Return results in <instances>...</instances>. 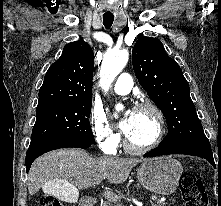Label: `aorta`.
<instances>
[{
	"label": "aorta",
	"instance_id": "aorta-1",
	"mask_svg": "<svg viewBox=\"0 0 221 206\" xmlns=\"http://www.w3.org/2000/svg\"><path fill=\"white\" fill-rule=\"evenodd\" d=\"M128 59L129 53L126 49L113 50L104 56L100 70V86L104 91H108L111 83L125 67ZM116 109H122V105L118 104Z\"/></svg>",
	"mask_w": 221,
	"mask_h": 206
}]
</instances>
